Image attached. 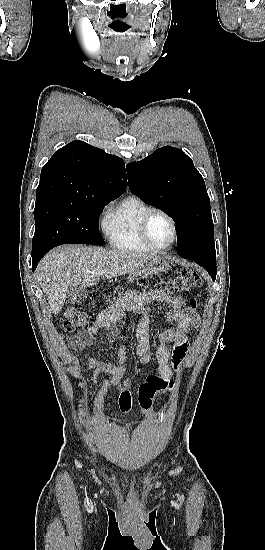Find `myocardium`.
<instances>
[{
  "mask_svg": "<svg viewBox=\"0 0 265 550\" xmlns=\"http://www.w3.org/2000/svg\"><path fill=\"white\" fill-rule=\"evenodd\" d=\"M154 214H160V215L164 216L170 222V225H171V228H172V239H171L170 243L167 244V245L158 246L151 240V238L149 236L148 224H149V221H150L151 217ZM139 231H140V236H141L143 242L150 249L156 250V251H164V250L170 249L175 244V242L177 240V236H178V230H177V225H176L175 219L168 212H166L165 210L160 209V208H151L147 212L144 213V215L142 216V218L140 220Z\"/></svg>",
  "mask_w": 265,
  "mask_h": 550,
  "instance_id": "obj_1",
  "label": "myocardium"
}]
</instances>
